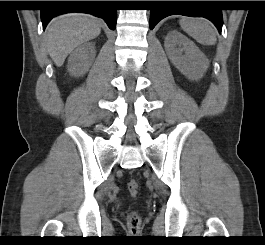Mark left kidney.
I'll list each match as a JSON object with an SVG mask.
<instances>
[{
	"instance_id": "1",
	"label": "left kidney",
	"mask_w": 265,
	"mask_h": 245,
	"mask_svg": "<svg viewBox=\"0 0 265 245\" xmlns=\"http://www.w3.org/2000/svg\"><path fill=\"white\" fill-rule=\"evenodd\" d=\"M168 58L190 80H199L208 69L209 60L201 50L180 32L170 31L164 42Z\"/></svg>"
}]
</instances>
